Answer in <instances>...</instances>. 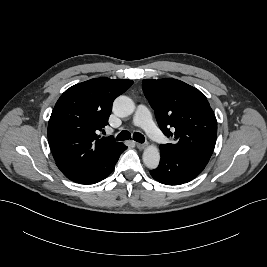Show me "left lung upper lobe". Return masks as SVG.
Here are the masks:
<instances>
[{
  "mask_svg": "<svg viewBox=\"0 0 267 267\" xmlns=\"http://www.w3.org/2000/svg\"><path fill=\"white\" fill-rule=\"evenodd\" d=\"M143 92L162 132L173 142L160 150L209 161L216 143L217 121L206 97L176 79H144Z\"/></svg>",
  "mask_w": 267,
  "mask_h": 267,
  "instance_id": "obj_1",
  "label": "left lung upper lobe"
}]
</instances>
